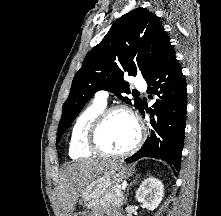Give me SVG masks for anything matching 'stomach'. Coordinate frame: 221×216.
Here are the masks:
<instances>
[{
    "mask_svg": "<svg viewBox=\"0 0 221 216\" xmlns=\"http://www.w3.org/2000/svg\"><path fill=\"white\" fill-rule=\"evenodd\" d=\"M134 169L123 165L122 162L113 163L108 166L100 175L95 177L80 194V203L92 209L96 201L104 196L113 186L120 184L123 180L132 176ZM89 211L74 213L72 216H92Z\"/></svg>",
    "mask_w": 221,
    "mask_h": 216,
    "instance_id": "0dacf381",
    "label": "stomach"
}]
</instances>
